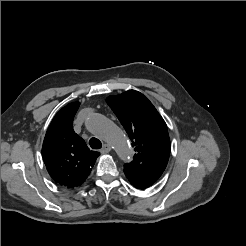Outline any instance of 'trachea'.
Returning a JSON list of instances; mask_svg holds the SVG:
<instances>
[{
	"label": "trachea",
	"mask_w": 246,
	"mask_h": 246,
	"mask_svg": "<svg viewBox=\"0 0 246 246\" xmlns=\"http://www.w3.org/2000/svg\"><path fill=\"white\" fill-rule=\"evenodd\" d=\"M89 145L92 149H100L102 147V143L97 138H91L89 141Z\"/></svg>",
	"instance_id": "obj_1"
}]
</instances>
